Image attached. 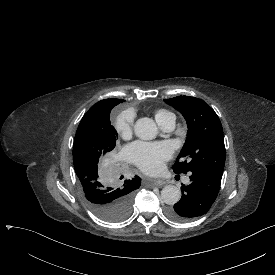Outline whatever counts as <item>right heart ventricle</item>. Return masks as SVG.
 Segmentation results:
<instances>
[{
    "mask_svg": "<svg viewBox=\"0 0 275 275\" xmlns=\"http://www.w3.org/2000/svg\"><path fill=\"white\" fill-rule=\"evenodd\" d=\"M171 116H174V114L171 113L170 111L165 110V109H160L155 112V119H156L157 123L161 122L163 120H166L167 118H169Z\"/></svg>",
    "mask_w": 275,
    "mask_h": 275,
    "instance_id": "e07e8e85",
    "label": "right heart ventricle"
}]
</instances>
